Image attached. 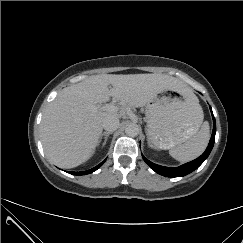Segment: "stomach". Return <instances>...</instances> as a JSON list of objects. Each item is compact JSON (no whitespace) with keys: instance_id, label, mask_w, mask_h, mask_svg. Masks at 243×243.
I'll return each mask as SVG.
<instances>
[{"instance_id":"obj_1","label":"stomach","mask_w":243,"mask_h":243,"mask_svg":"<svg viewBox=\"0 0 243 243\" xmlns=\"http://www.w3.org/2000/svg\"><path fill=\"white\" fill-rule=\"evenodd\" d=\"M167 91L146 106L147 134L160 149L187 141L200 127L197 97L191 91Z\"/></svg>"}]
</instances>
